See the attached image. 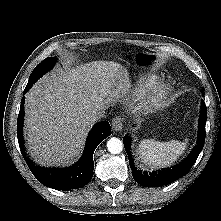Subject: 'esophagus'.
<instances>
[{
    "label": "esophagus",
    "mask_w": 221,
    "mask_h": 221,
    "mask_svg": "<svg viewBox=\"0 0 221 221\" xmlns=\"http://www.w3.org/2000/svg\"><path fill=\"white\" fill-rule=\"evenodd\" d=\"M112 127L115 131H121L123 128L122 119L120 117H114L112 120Z\"/></svg>",
    "instance_id": "1"
}]
</instances>
